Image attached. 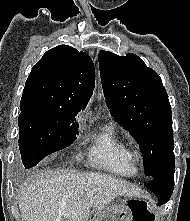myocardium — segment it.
<instances>
[{
	"instance_id": "myocardium-1",
	"label": "myocardium",
	"mask_w": 190,
	"mask_h": 221,
	"mask_svg": "<svg viewBox=\"0 0 190 221\" xmlns=\"http://www.w3.org/2000/svg\"><path fill=\"white\" fill-rule=\"evenodd\" d=\"M132 159L136 166H140L144 163L145 157L141 150H132Z\"/></svg>"
}]
</instances>
